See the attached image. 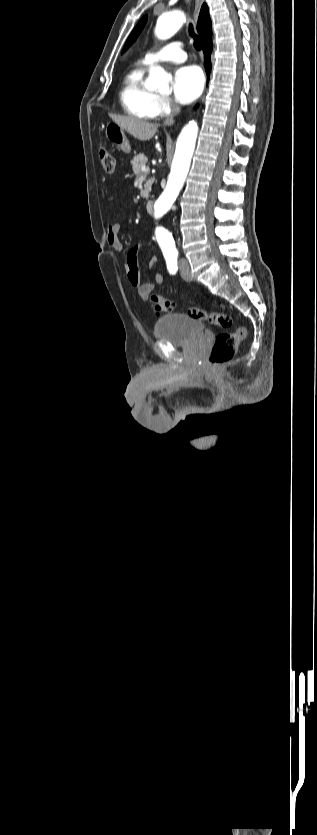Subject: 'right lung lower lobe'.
Wrapping results in <instances>:
<instances>
[{
  "label": "right lung lower lobe",
  "mask_w": 317,
  "mask_h": 835,
  "mask_svg": "<svg viewBox=\"0 0 317 835\" xmlns=\"http://www.w3.org/2000/svg\"><path fill=\"white\" fill-rule=\"evenodd\" d=\"M203 38V52H204V66L206 69L207 77L211 70V51H212V29H209L207 33L202 37Z\"/></svg>",
  "instance_id": "right-lung-lower-lobe-1"
}]
</instances>
